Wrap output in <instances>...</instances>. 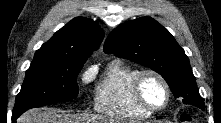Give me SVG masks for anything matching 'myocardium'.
Masks as SVG:
<instances>
[{
  "mask_svg": "<svg viewBox=\"0 0 221 123\" xmlns=\"http://www.w3.org/2000/svg\"><path fill=\"white\" fill-rule=\"evenodd\" d=\"M147 76H152V77L156 78L162 84V86L165 90V94H166L165 102L160 107H153V106L149 105L142 95V89H141L142 82ZM131 89H132V94H133V97H134L136 103L142 109H144L145 111H147L149 113H156V112L163 111L164 109L167 108V106L170 103V99H171L170 86H169L167 80L165 79V77L156 70H153V69L139 70L133 78Z\"/></svg>",
  "mask_w": 221,
  "mask_h": 123,
  "instance_id": "1",
  "label": "myocardium"
}]
</instances>
